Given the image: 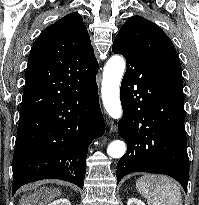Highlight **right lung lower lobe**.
I'll return each instance as SVG.
<instances>
[{
	"mask_svg": "<svg viewBox=\"0 0 199 205\" xmlns=\"http://www.w3.org/2000/svg\"><path fill=\"white\" fill-rule=\"evenodd\" d=\"M104 131L96 78L20 118L12 164L13 194L27 183L49 178L83 188L89 144Z\"/></svg>",
	"mask_w": 199,
	"mask_h": 205,
	"instance_id": "right-lung-lower-lobe-1",
	"label": "right lung lower lobe"
}]
</instances>
